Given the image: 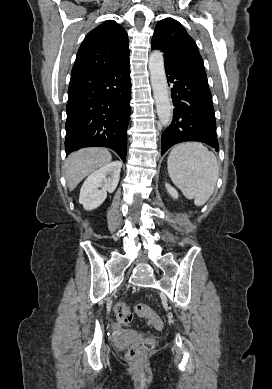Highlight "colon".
<instances>
[{"label": "colon", "mask_w": 272, "mask_h": 389, "mask_svg": "<svg viewBox=\"0 0 272 389\" xmlns=\"http://www.w3.org/2000/svg\"><path fill=\"white\" fill-rule=\"evenodd\" d=\"M136 313L148 318L151 324L158 330L163 328V321L158 317L148 305L140 303L135 307ZM115 315L120 323L128 324L133 319L132 311L129 306L124 302H118L114 307ZM155 340L153 337H147L146 339L132 345L127 353L129 360L133 362L141 361L146 353L154 346Z\"/></svg>", "instance_id": "1"}]
</instances>
